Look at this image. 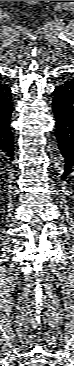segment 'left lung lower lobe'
I'll return each mask as SVG.
<instances>
[{
  "mask_svg": "<svg viewBox=\"0 0 74 366\" xmlns=\"http://www.w3.org/2000/svg\"><path fill=\"white\" fill-rule=\"evenodd\" d=\"M56 138L63 156V179L74 174V76L65 79L53 92Z\"/></svg>",
  "mask_w": 74,
  "mask_h": 366,
  "instance_id": "obj_1",
  "label": "left lung lower lobe"
}]
</instances>
